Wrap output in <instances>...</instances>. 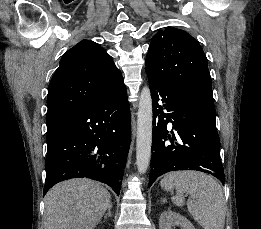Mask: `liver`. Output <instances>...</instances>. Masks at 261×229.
<instances>
[{"mask_svg": "<svg viewBox=\"0 0 261 229\" xmlns=\"http://www.w3.org/2000/svg\"><path fill=\"white\" fill-rule=\"evenodd\" d=\"M110 205V195L91 179H70L45 197L44 229H94Z\"/></svg>", "mask_w": 261, "mask_h": 229, "instance_id": "1", "label": "liver"}]
</instances>
